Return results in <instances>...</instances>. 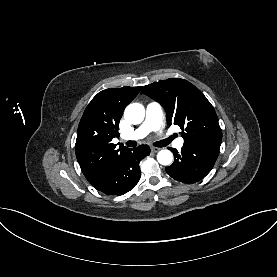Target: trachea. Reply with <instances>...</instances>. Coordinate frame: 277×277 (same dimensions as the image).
<instances>
[{"label": "trachea", "mask_w": 277, "mask_h": 277, "mask_svg": "<svg viewBox=\"0 0 277 277\" xmlns=\"http://www.w3.org/2000/svg\"><path fill=\"white\" fill-rule=\"evenodd\" d=\"M172 139V137L170 139H166V140H161L158 142H155L154 145L156 147H165L170 143V140ZM126 145L128 147H136L137 146V142L136 141H128L126 142Z\"/></svg>", "instance_id": "1"}]
</instances>
